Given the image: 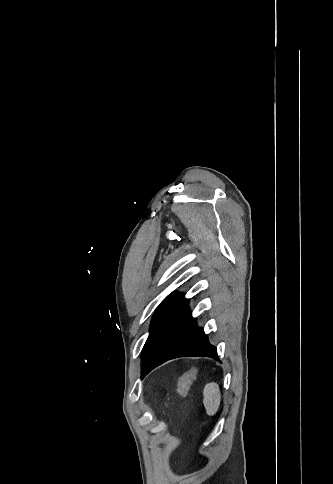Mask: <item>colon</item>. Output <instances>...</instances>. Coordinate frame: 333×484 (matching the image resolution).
<instances>
[{
    "mask_svg": "<svg viewBox=\"0 0 333 484\" xmlns=\"http://www.w3.org/2000/svg\"><path fill=\"white\" fill-rule=\"evenodd\" d=\"M197 370L192 368L185 372L179 380L177 392L180 397H186L191 384L196 379Z\"/></svg>",
    "mask_w": 333,
    "mask_h": 484,
    "instance_id": "colon-1",
    "label": "colon"
}]
</instances>
